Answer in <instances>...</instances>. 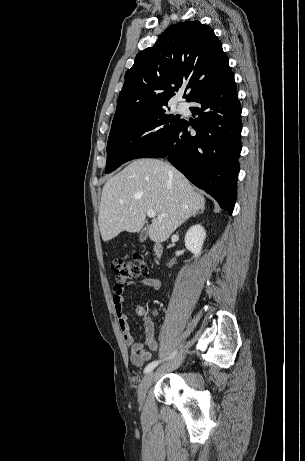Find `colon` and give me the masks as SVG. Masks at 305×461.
<instances>
[{
	"label": "colon",
	"instance_id": "obj_1",
	"mask_svg": "<svg viewBox=\"0 0 305 461\" xmlns=\"http://www.w3.org/2000/svg\"><path fill=\"white\" fill-rule=\"evenodd\" d=\"M111 267L120 282L130 281L148 273V266L140 255H135L132 260L116 258L112 261ZM138 312L142 313L143 309L138 308Z\"/></svg>",
	"mask_w": 305,
	"mask_h": 461
}]
</instances>
